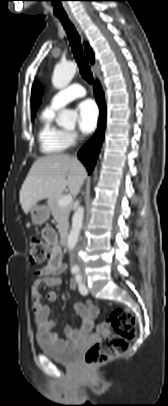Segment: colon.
Segmentation results:
<instances>
[{
    "label": "colon",
    "instance_id": "5ec220e1",
    "mask_svg": "<svg viewBox=\"0 0 168 406\" xmlns=\"http://www.w3.org/2000/svg\"><path fill=\"white\" fill-rule=\"evenodd\" d=\"M52 247L47 241L32 237L29 241V258L32 264H41L50 258ZM109 327L115 331L109 333ZM98 333L104 335L86 352L84 365L87 368L104 364L123 355L129 347V340L138 333V323L133 312L126 309L114 310L109 318L99 324Z\"/></svg>",
    "mask_w": 168,
    "mask_h": 406
}]
</instances>
